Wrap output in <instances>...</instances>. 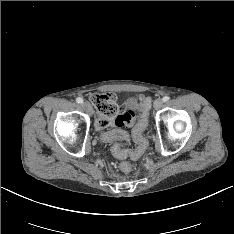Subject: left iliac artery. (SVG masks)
Masks as SVG:
<instances>
[{
    "instance_id": "obj_1",
    "label": "left iliac artery",
    "mask_w": 234,
    "mask_h": 234,
    "mask_svg": "<svg viewBox=\"0 0 234 234\" xmlns=\"http://www.w3.org/2000/svg\"><path fill=\"white\" fill-rule=\"evenodd\" d=\"M164 102H167L169 100V97L168 96H164L163 99H162Z\"/></svg>"
}]
</instances>
